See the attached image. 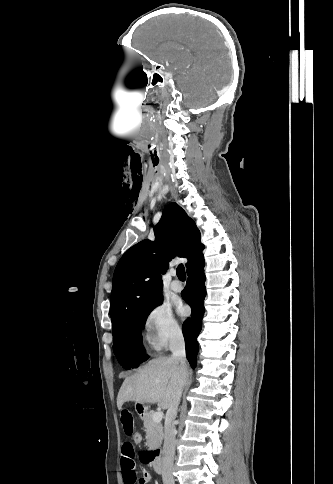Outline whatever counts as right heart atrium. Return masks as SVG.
I'll return each instance as SVG.
<instances>
[{"instance_id": "obj_1", "label": "right heart atrium", "mask_w": 333, "mask_h": 484, "mask_svg": "<svg viewBox=\"0 0 333 484\" xmlns=\"http://www.w3.org/2000/svg\"><path fill=\"white\" fill-rule=\"evenodd\" d=\"M146 339L154 349H164L181 336V327L169 304L160 302L146 314Z\"/></svg>"}]
</instances>
